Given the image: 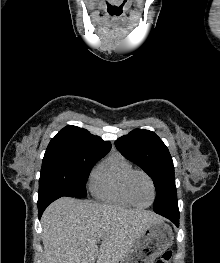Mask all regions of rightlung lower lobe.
<instances>
[{
	"mask_svg": "<svg viewBox=\"0 0 220 263\" xmlns=\"http://www.w3.org/2000/svg\"><path fill=\"white\" fill-rule=\"evenodd\" d=\"M59 197H54L52 199H49L47 201H44V202H40L38 203V211H39V218L41 217L43 211L45 210V208L51 203L53 202L54 200L58 199Z\"/></svg>",
	"mask_w": 220,
	"mask_h": 263,
	"instance_id": "98d812e1",
	"label": "right lung lower lobe"
}]
</instances>
